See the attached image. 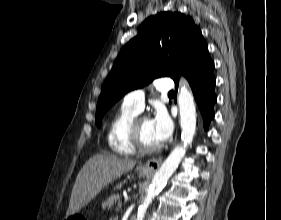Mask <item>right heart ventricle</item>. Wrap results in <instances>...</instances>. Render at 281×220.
<instances>
[{
    "label": "right heart ventricle",
    "mask_w": 281,
    "mask_h": 220,
    "mask_svg": "<svg viewBox=\"0 0 281 220\" xmlns=\"http://www.w3.org/2000/svg\"><path fill=\"white\" fill-rule=\"evenodd\" d=\"M138 113V111L123 103L113 117L107 133V142L109 148L115 154L128 157L137 153L129 141L128 132Z\"/></svg>",
    "instance_id": "1"
}]
</instances>
